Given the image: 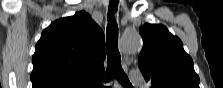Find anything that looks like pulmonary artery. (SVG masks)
<instances>
[{"mask_svg": "<svg viewBox=\"0 0 223 88\" xmlns=\"http://www.w3.org/2000/svg\"><path fill=\"white\" fill-rule=\"evenodd\" d=\"M130 82L133 85H139L142 82V75L139 71L133 70L130 73Z\"/></svg>", "mask_w": 223, "mask_h": 88, "instance_id": "pulmonary-artery-1", "label": "pulmonary artery"}]
</instances>
